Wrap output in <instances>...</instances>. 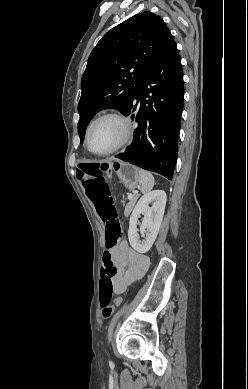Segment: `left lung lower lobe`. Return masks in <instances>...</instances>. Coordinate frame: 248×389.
<instances>
[{"mask_svg": "<svg viewBox=\"0 0 248 389\" xmlns=\"http://www.w3.org/2000/svg\"><path fill=\"white\" fill-rule=\"evenodd\" d=\"M183 97L182 65L174 43L151 68L134 100L123 112L134 119L137 111L138 126L132 144L116 157L172 180Z\"/></svg>", "mask_w": 248, "mask_h": 389, "instance_id": "1", "label": "left lung lower lobe"}]
</instances>
